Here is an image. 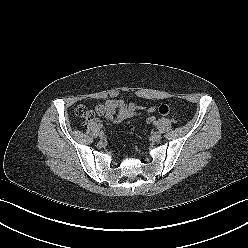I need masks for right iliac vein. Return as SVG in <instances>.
Masks as SVG:
<instances>
[{"instance_id":"63e3f726","label":"right iliac vein","mask_w":248,"mask_h":248,"mask_svg":"<svg viewBox=\"0 0 248 248\" xmlns=\"http://www.w3.org/2000/svg\"><path fill=\"white\" fill-rule=\"evenodd\" d=\"M99 138L100 139H104L105 138V134L103 131H100L99 134H98Z\"/></svg>"}]
</instances>
